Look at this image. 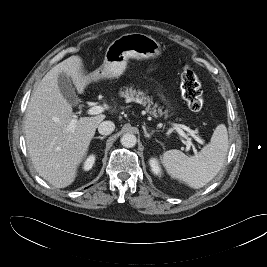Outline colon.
<instances>
[{"instance_id": "obj_1", "label": "colon", "mask_w": 267, "mask_h": 267, "mask_svg": "<svg viewBox=\"0 0 267 267\" xmlns=\"http://www.w3.org/2000/svg\"><path fill=\"white\" fill-rule=\"evenodd\" d=\"M181 95L190 110L198 112L203 108L204 99L199 79L190 67H185L180 81Z\"/></svg>"}]
</instances>
